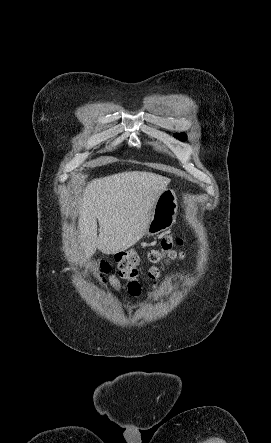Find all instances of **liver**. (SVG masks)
Listing matches in <instances>:
<instances>
[{"instance_id":"obj_1","label":"liver","mask_w":271,"mask_h":443,"mask_svg":"<svg viewBox=\"0 0 271 443\" xmlns=\"http://www.w3.org/2000/svg\"><path fill=\"white\" fill-rule=\"evenodd\" d=\"M169 182L152 172H122L87 182L78 206V243L84 257H91L97 247L118 253L137 243Z\"/></svg>"}]
</instances>
